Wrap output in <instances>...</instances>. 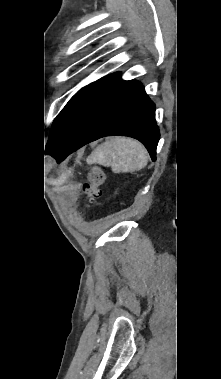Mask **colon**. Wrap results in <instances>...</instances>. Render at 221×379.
<instances>
[{
	"instance_id": "1",
	"label": "colon",
	"mask_w": 221,
	"mask_h": 379,
	"mask_svg": "<svg viewBox=\"0 0 221 379\" xmlns=\"http://www.w3.org/2000/svg\"><path fill=\"white\" fill-rule=\"evenodd\" d=\"M105 179L106 174L101 168L95 166L88 168V182L83 186L86 205L95 202L101 196V186Z\"/></svg>"
}]
</instances>
